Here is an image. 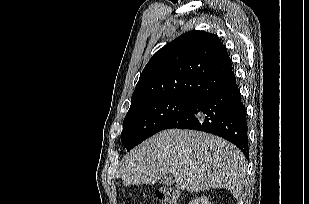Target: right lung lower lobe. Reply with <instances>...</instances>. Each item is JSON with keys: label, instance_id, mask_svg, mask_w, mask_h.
<instances>
[{"label": "right lung lower lobe", "instance_id": "right-lung-lower-lobe-1", "mask_svg": "<svg viewBox=\"0 0 309 204\" xmlns=\"http://www.w3.org/2000/svg\"><path fill=\"white\" fill-rule=\"evenodd\" d=\"M171 128L215 134L236 145L246 158L249 156L247 114L236 81L199 99L165 127Z\"/></svg>", "mask_w": 309, "mask_h": 204}]
</instances>
